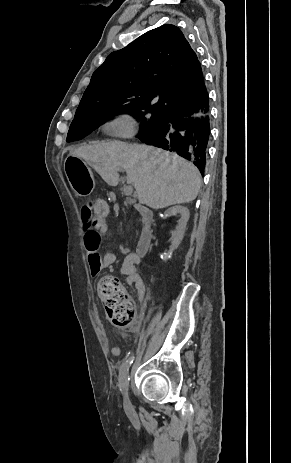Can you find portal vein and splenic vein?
Instances as JSON below:
<instances>
[{
	"label": "portal vein and splenic vein",
	"instance_id": "1",
	"mask_svg": "<svg viewBox=\"0 0 291 463\" xmlns=\"http://www.w3.org/2000/svg\"><path fill=\"white\" fill-rule=\"evenodd\" d=\"M123 192L126 196H130L133 193V187L131 185L125 186Z\"/></svg>",
	"mask_w": 291,
	"mask_h": 463
}]
</instances>
